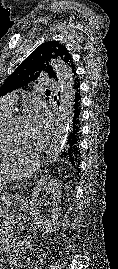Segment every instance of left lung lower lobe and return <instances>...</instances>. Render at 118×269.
Here are the masks:
<instances>
[{
	"instance_id": "obj_1",
	"label": "left lung lower lobe",
	"mask_w": 118,
	"mask_h": 269,
	"mask_svg": "<svg viewBox=\"0 0 118 269\" xmlns=\"http://www.w3.org/2000/svg\"><path fill=\"white\" fill-rule=\"evenodd\" d=\"M80 84H76L73 87V105H72V125L71 132L68 134L61 156L68 158L74 168L78 169L79 157H80V112H81V95Z\"/></svg>"
}]
</instances>
